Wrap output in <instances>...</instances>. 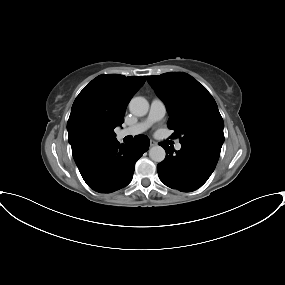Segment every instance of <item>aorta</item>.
Returning a JSON list of instances; mask_svg holds the SVG:
<instances>
[{
    "instance_id": "aorta-1",
    "label": "aorta",
    "mask_w": 285,
    "mask_h": 285,
    "mask_svg": "<svg viewBox=\"0 0 285 285\" xmlns=\"http://www.w3.org/2000/svg\"><path fill=\"white\" fill-rule=\"evenodd\" d=\"M129 110L135 116H144L149 110V103L144 97H134L129 103ZM165 156L166 152L161 146H153L149 150V157L154 162H162Z\"/></svg>"
}]
</instances>
